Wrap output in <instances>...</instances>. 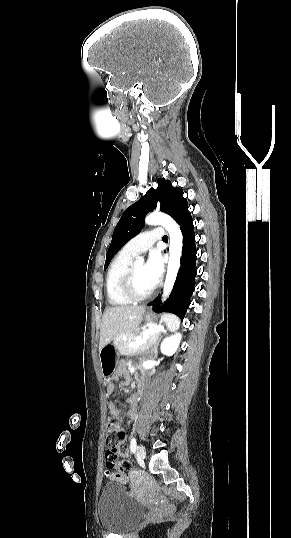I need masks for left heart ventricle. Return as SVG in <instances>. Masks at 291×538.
I'll list each match as a JSON object with an SVG mask.
<instances>
[{
    "instance_id": "b2bd125f",
    "label": "left heart ventricle",
    "mask_w": 291,
    "mask_h": 538,
    "mask_svg": "<svg viewBox=\"0 0 291 538\" xmlns=\"http://www.w3.org/2000/svg\"><path fill=\"white\" fill-rule=\"evenodd\" d=\"M134 280L136 288L140 293H146L153 288L145 275L144 265L142 263L134 265Z\"/></svg>"
}]
</instances>
